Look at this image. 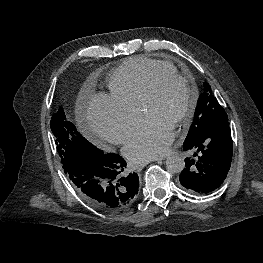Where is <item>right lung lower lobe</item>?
Segmentation results:
<instances>
[{
  "mask_svg": "<svg viewBox=\"0 0 263 263\" xmlns=\"http://www.w3.org/2000/svg\"><path fill=\"white\" fill-rule=\"evenodd\" d=\"M125 167L118 154L81 155L65 173L88 203L115 212L131 205L139 188L138 175L123 173Z\"/></svg>",
  "mask_w": 263,
  "mask_h": 263,
  "instance_id": "98d812e1",
  "label": "right lung lower lobe"
}]
</instances>
